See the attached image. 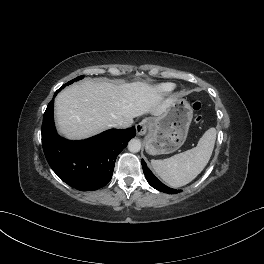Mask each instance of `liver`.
<instances>
[{
    "label": "liver",
    "mask_w": 264,
    "mask_h": 264,
    "mask_svg": "<svg viewBox=\"0 0 264 264\" xmlns=\"http://www.w3.org/2000/svg\"><path fill=\"white\" fill-rule=\"evenodd\" d=\"M176 97L164 98L153 85L133 82L116 85L85 80L64 89L55 100L58 131L68 139H85L124 121L150 113L162 115Z\"/></svg>",
    "instance_id": "obj_1"
}]
</instances>
